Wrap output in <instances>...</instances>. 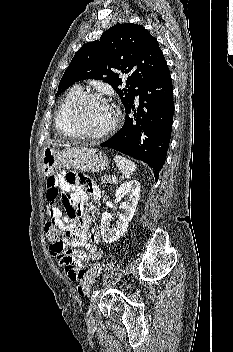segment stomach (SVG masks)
I'll return each instance as SVG.
<instances>
[{
  "mask_svg": "<svg viewBox=\"0 0 233 352\" xmlns=\"http://www.w3.org/2000/svg\"><path fill=\"white\" fill-rule=\"evenodd\" d=\"M108 165L107 156L95 148L74 147L58 151L46 147L42 153V174H54L60 168L99 172Z\"/></svg>",
  "mask_w": 233,
  "mask_h": 352,
  "instance_id": "stomach-1",
  "label": "stomach"
}]
</instances>
